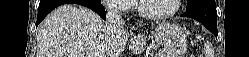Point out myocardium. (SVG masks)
<instances>
[{
	"label": "myocardium",
	"mask_w": 249,
	"mask_h": 57,
	"mask_svg": "<svg viewBox=\"0 0 249 57\" xmlns=\"http://www.w3.org/2000/svg\"><path fill=\"white\" fill-rule=\"evenodd\" d=\"M138 11L140 15H142L144 18L149 19V20H155V21H160V20H166L172 16H174L176 13L181 8L182 1L181 0H175V7L173 10L167 13L163 14H152L146 11L145 9V0H138Z\"/></svg>",
	"instance_id": "myocardium-1"
}]
</instances>
